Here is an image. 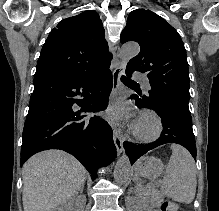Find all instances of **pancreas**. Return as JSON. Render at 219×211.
Returning <instances> with one entry per match:
<instances>
[{
  "instance_id": "pancreas-1",
  "label": "pancreas",
  "mask_w": 219,
  "mask_h": 211,
  "mask_svg": "<svg viewBox=\"0 0 219 211\" xmlns=\"http://www.w3.org/2000/svg\"><path fill=\"white\" fill-rule=\"evenodd\" d=\"M143 193H146V195H144V199H146L150 205H159V203L163 201L162 195H160L157 189L143 188Z\"/></svg>"
}]
</instances>
